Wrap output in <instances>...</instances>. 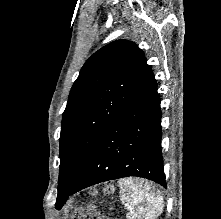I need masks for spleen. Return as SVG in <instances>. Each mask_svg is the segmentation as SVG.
I'll return each mask as SVG.
<instances>
[{
	"mask_svg": "<svg viewBox=\"0 0 221 219\" xmlns=\"http://www.w3.org/2000/svg\"><path fill=\"white\" fill-rule=\"evenodd\" d=\"M121 201L130 209L128 219H156L163 211V197L153 184L143 179L125 178L118 182Z\"/></svg>",
	"mask_w": 221,
	"mask_h": 219,
	"instance_id": "spleen-1",
	"label": "spleen"
}]
</instances>
